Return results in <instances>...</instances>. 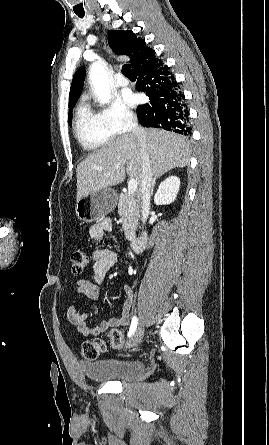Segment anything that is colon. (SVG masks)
<instances>
[{
	"label": "colon",
	"mask_w": 269,
	"mask_h": 445,
	"mask_svg": "<svg viewBox=\"0 0 269 445\" xmlns=\"http://www.w3.org/2000/svg\"><path fill=\"white\" fill-rule=\"evenodd\" d=\"M72 271L75 274H81L88 265V257L84 252L75 250L71 253ZM108 338L112 346L121 349L124 345L123 336L120 331H110ZM107 349L106 341L103 338H95L82 343L81 354L87 360H95Z\"/></svg>",
	"instance_id": "obj_1"
}]
</instances>
